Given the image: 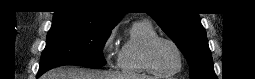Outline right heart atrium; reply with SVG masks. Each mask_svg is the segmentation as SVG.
<instances>
[{"mask_svg":"<svg viewBox=\"0 0 255 79\" xmlns=\"http://www.w3.org/2000/svg\"><path fill=\"white\" fill-rule=\"evenodd\" d=\"M115 30L112 29L105 37L102 43V52L108 65L114 66L119 63V50L115 45Z\"/></svg>","mask_w":255,"mask_h":79,"instance_id":"d8ad5b80","label":"right heart atrium"}]
</instances>
